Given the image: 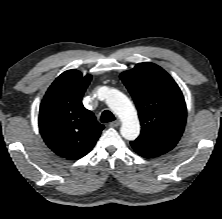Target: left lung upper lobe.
<instances>
[{"mask_svg": "<svg viewBox=\"0 0 222 219\" xmlns=\"http://www.w3.org/2000/svg\"><path fill=\"white\" fill-rule=\"evenodd\" d=\"M130 92L142 126L135 142L170 151L185 127L187 110L183 94L160 66L144 62L120 74Z\"/></svg>", "mask_w": 222, "mask_h": 219, "instance_id": "left-lung-upper-lobe-1", "label": "left lung upper lobe"}]
</instances>
